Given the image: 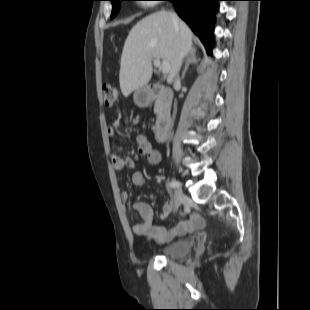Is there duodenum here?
<instances>
[{"label": "duodenum", "instance_id": "obj_1", "mask_svg": "<svg viewBox=\"0 0 310 310\" xmlns=\"http://www.w3.org/2000/svg\"><path fill=\"white\" fill-rule=\"evenodd\" d=\"M144 104L158 100V116L154 136L158 142L164 141L172 122L173 93L161 85H152L148 92L142 94Z\"/></svg>", "mask_w": 310, "mask_h": 310}]
</instances>
